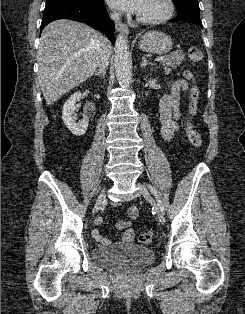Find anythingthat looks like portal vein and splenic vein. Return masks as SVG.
Returning a JSON list of instances; mask_svg holds the SVG:
<instances>
[{
    "label": "portal vein and splenic vein",
    "instance_id": "obj_1",
    "mask_svg": "<svg viewBox=\"0 0 245 314\" xmlns=\"http://www.w3.org/2000/svg\"><path fill=\"white\" fill-rule=\"evenodd\" d=\"M164 59V56H161V57H158L155 59V61L159 62V61H162Z\"/></svg>",
    "mask_w": 245,
    "mask_h": 314
}]
</instances>
